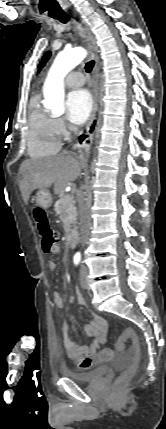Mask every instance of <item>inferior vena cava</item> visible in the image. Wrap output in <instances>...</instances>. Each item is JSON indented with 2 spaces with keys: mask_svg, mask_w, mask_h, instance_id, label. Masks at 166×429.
<instances>
[{
  "mask_svg": "<svg viewBox=\"0 0 166 429\" xmlns=\"http://www.w3.org/2000/svg\"><path fill=\"white\" fill-rule=\"evenodd\" d=\"M71 130L77 132V127L72 126ZM79 221H80V243L82 246L85 245L89 235V229L91 226V218L89 214V205L85 201V193L81 191L79 198Z\"/></svg>",
  "mask_w": 166,
  "mask_h": 429,
  "instance_id": "obj_1",
  "label": "inferior vena cava"
}]
</instances>
